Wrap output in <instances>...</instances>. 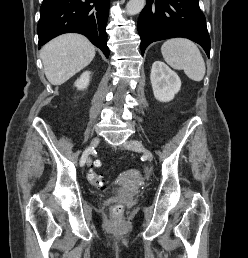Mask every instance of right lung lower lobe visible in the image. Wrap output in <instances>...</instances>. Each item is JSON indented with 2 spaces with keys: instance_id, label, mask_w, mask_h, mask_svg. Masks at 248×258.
<instances>
[{
  "instance_id": "98d812e1",
  "label": "right lung lower lobe",
  "mask_w": 248,
  "mask_h": 258,
  "mask_svg": "<svg viewBox=\"0 0 248 258\" xmlns=\"http://www.w3.org/2000/svg\"><path fill=\"white\" fill-rule=\"evenodd\" d=\"M110 0H44L37 26L39 46L68 32L85 35L109 57L105 31Z\"/></svg>"
}]
</instances>
